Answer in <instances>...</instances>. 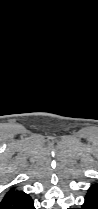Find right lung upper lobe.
<instances>
[{"instance_id": "obj_1", "label": "right lung upper lobe", "mask_w": 98, "mask_h": 209, "mask_svg": "<svg viewBox=\"0 0 98 209\" xmlns=\"http://www.w3.org/2000/svg\"><path fill=\"white\" fill-rule=\"evenodd\" d=\"M15 188H11L8 192L13 191Z\"/></svg>"}]
</instances>
